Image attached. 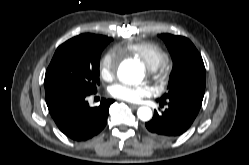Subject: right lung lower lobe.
I'll use <instances>...</instances> for the list:
<instances>
[{"label":"right lung lower lobe","instance_id":"1","mask_svg":"<svg viewBox=\"0 0 249 165\" xmlns=\"http://www.w3.org/2000/svg\"><path fill=\"white\" fill-rule=\"evenodd\" d=\"M90 94L51 90L45 92L49 112L58 128L69 138L85 141L97 135L107 123L113 99H102L100 106L90 107Z\"/></svg>","mask_w":249,"mask_h":165}]
</instances>
